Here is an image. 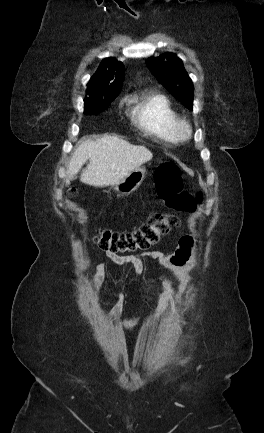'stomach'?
<instances>
[{"label": "stomach", "mask_w": 264, "mask_h": 433, "mask_svg": "<svg viewBox=\"0 0 264 433\" xmlns=\"http://www.w3.org/2000/svg\"><path fill=\"white\" fill-rule=\"evenodd\" d=\"M145 177V168L138 167L132 172L129 173L128 176L120 180L117 184L114 185V189L123 195L130 194L137 190V188L141 185L142 181Z\"/></svg>", "instance_id": "obj_1"}]
</instances>
